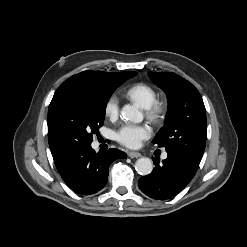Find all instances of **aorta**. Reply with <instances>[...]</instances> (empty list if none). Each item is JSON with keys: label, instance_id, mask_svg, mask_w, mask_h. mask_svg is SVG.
<instances>
[{"label": "aorta", "instance_id": "obj_1", "mask_svg": "<svg viewBox=\"0 0 247 247\" xmlns=\"http://www.w3.org/2000/svg\"><path fill=\"white\" fill-rule=\"evenodd\" d=\"M121 116L124 120L134 123H139L143 120L142 113L133 105H125L122 108ZM135 169L140 175H148L153 170V162L147 157L139 158L135 163Z\"/></svg>", "mask_w": 247, "mask_h": 247}]
</instances>
